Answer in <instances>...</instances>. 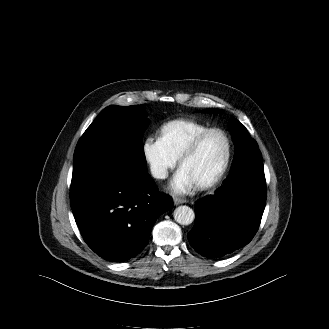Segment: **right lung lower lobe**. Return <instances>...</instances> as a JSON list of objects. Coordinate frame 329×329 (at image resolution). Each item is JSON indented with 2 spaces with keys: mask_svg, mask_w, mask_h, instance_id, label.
<instances>
[{
  "mask_svg": "<svg viewBox=\"0 0 329 329\" xmlns=\"http://www.w3.org/2000/svg\"><path fill=\"white\" fill-rule=\"evenodd\" d=\"M70 202L88 246L102 258L126 261L148 244L156 219L173 206L146 173L128 178L108 170L72 180Z\"/></svg>",
  "mask_w": 329,
  "mask_h": 329,
  "instance_id": "obj_1",
  "label": "right lung lower lobe"
}]
</instances>
